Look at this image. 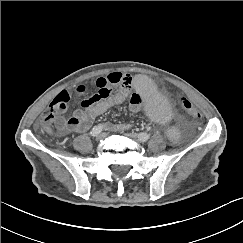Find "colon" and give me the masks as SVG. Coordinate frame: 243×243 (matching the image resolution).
I'll return each mask as SVG.
<instances>
[{
  "label": "colon",
  "instance_id": "5ec220e1",
  "mask_svg": "<svg viewBox=\"0 0 243 243\" xmlns=\"http://www.w3.org/2000/svg\"><path fill=\"white\" fill-rule=\"evenodd\" d=\"M69 100L68 93L61 91L52 101L50 108L44 113L41 119V127L46 132H53V123L56 120L58 113L66 110ZM180 104L184 111L192 117H200V112L197 107L191 102L189 95L180 97Z\"/></svg>",
  "mask_w": 243,
  "mask_h": 243
}]
</instances>
